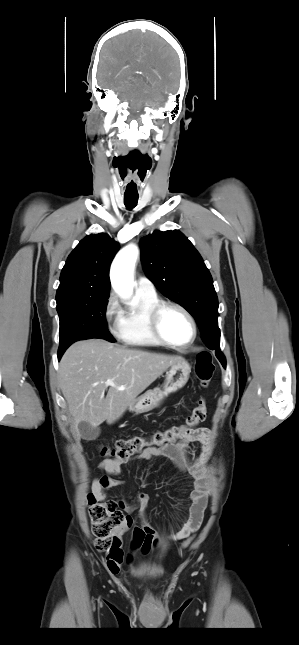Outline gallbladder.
<instances>
[{"label": "gallbladder", "instance_id": "bac80fb5", "mask_svg": "<svg viewBox=\"0 0 299 645\" xmlns=\"http://www.w3.org/2000/svg\"><path fill=\"white\" fill-rule=\"evenodd\" d=\"M78 431L81 437L88 441L95 440L101 432L100 428L92 427L89 423L84 421L79 423Z\"/></svg>", "mask_w": 299, "mask_h": 645}]
</instances>
